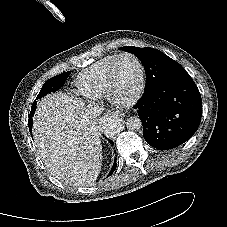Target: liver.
<instances>
[{
    "mask_svg": "<svg viewBox=\"0 0 227 227\" xmlns=\"http://www.w3.org/2000/svg\"><path fill=\"white\" fill-rule=\"evenodd\" d=\"M87 109L81 101L58 92L42 98L33 117L34 140L45 166L73 186L92 185L102 166L96 118Z\"/></svg>",
    "mask_w": 227,
    "mask_h": 227,
    "instance_id": "liver-1",
    "label": "liver"
}]
</instances>
